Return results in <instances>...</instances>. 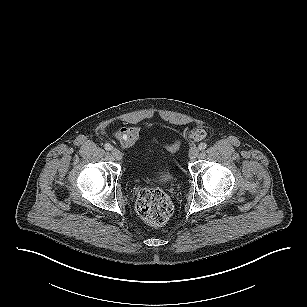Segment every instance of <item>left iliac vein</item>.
<instances>
[{
  "label": "left iliac vein",
  "mask_w": 307,
  "mask_h": 307,
  "mask_svg": "<svg viewBox=\"0 0 307 307\" xmlns=\"http://www.w3.org/2000/svg\"><path fill=\"white\" fill-rule=\"evenodd\" d=\"M198 154H199V149L197 147H192L189 151V159L191 161L195 160Z\"/></svg>",
  "instance_id": "4c4485c4"
}]
</instances>
